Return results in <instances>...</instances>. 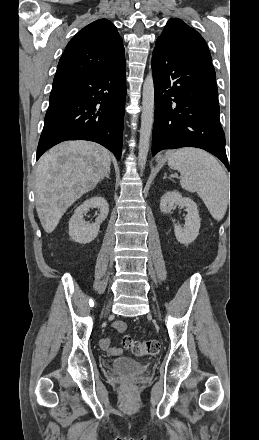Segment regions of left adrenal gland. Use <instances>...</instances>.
Returning <instances> with one entry per match:
<instances>
[{
	"instance_id": "a2214340",
	"label": "left adrenal gland",
	"mask_w": 259,
	"mask_h": 440,
	"mask_svg": "<svg viewBox=\"0 0 259 440\" xmlns=\"http://www.w3.org/2000/svg\"><path fill=\"white\" fill-rule=\"evenodd\" d=\"M166 178L171 179L170 177H167V173H164L163 179H166Z\"/></svg>"
}]
</instances>
